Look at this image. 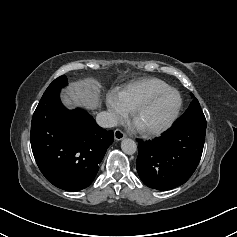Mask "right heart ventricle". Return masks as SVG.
Returning <instances> with one entry per match:
<instances>
[{
    "label": "right heart ventricle",
    "instance_id": "obj_1",
    "mask_svg": "<svg viewBox=\"0 0 237 237\" xmlns=\"http://www.w3.org/2000/svg\"><path fill=\"white\" fill-rule=\"evenodd\" d=\"M169 88V85L157 78H144L129 83L114 93V97L126 109L131 112L132 109L146 97Z\"/></svg>",
    "mask_w": 237,
    "mask_h": 237
}]
</instances>
